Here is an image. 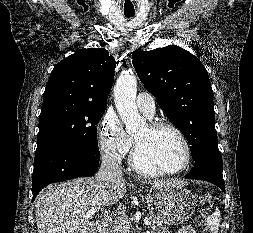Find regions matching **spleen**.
<instances>
[{"label": "spleen", "instance_id": "1", "mask_svg": "<svg viewBox=\"0 0 253 233\" xmlns=\"http://www.w3.org/2000/svg\"><path fill=\"white\" fill-rule=\"evenodd\" d=\"M221 214L220 210L216 207L213 215L207 218V225L212 233H217L220 227Z\"/></svg>", "mask_w": 253, "mask_h": 233}]
</instances>
